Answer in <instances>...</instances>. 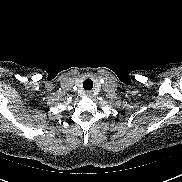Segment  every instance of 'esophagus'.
Masks as SVG:
<instances>
[{
    "label": "esophagus",
    "instance_id": "esophagus-1",
    "mask_svg": "<svg viewBox=\"0 0 182 182\" xmlns=\"http://www.w3.org/2000/svg\"><path fill=\"white\" fill-rule=\"evenodd\" d=\"M86 96H87V97H91V96H92V91H87V92H86Z\"/></svg>",
    "mask_w": 182,
    "mask_h": 182
}]
</instances>
